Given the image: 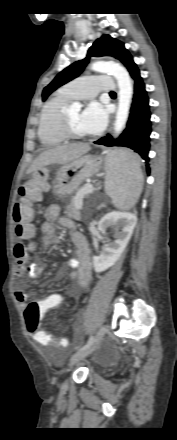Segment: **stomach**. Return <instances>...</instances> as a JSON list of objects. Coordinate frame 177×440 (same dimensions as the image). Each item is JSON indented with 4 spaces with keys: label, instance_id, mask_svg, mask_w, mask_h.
<instances>
[{
    "label": "stomach",
    "instance_id": "stomach-1",
    "mask_svg": "<svg viewBox=\"0 0 177 440\" xmlns=\"http://www.w3.org/2000/svg\"><path fill=\"white\" fill-rule=\"evenodd\" d=\"M115 152L108 153L106 157V164L110 165L114 162ZM101 167V161L98 157L92 155L82 156L74 161L64 164L59 168L53 182L54 195L64 198L71 195L78 189L81 183L95 175ZM44 168H39L34 171V177L37 178L39 171Z\"/></svg>",
    "mask_w": 177,
    "mask_h": 440
}]
</instances>
